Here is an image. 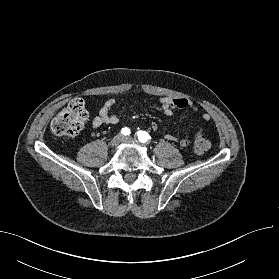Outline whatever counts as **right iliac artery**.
<instances>
[{"mask_svg": "<svg viewBox=\"0 0 279 279\" xmlns=\"http://www.w3.org/2000/svg\"><path fill=\"white\" fill-rule=\"evenodd\" d=\"M121 133L125 136L129 135L130 134V129L125 127V128H122L121 130Z\"/></svg>", "mask_w": 279, "mask_h": 279, "instance_id": "obj_1", "label": "right iliac artery"}]
</instances>
